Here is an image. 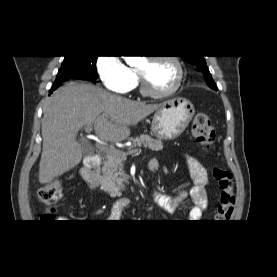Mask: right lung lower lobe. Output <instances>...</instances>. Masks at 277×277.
<instances>
[{
    "mask_svg": "<svg viewBox=\"0 0 277 277\" xmlns=\"http://www.w3.org/2000/svg\"><path fill=\"white\" fill-rule=\"evenodd\" d=\"M70 79H88L86 77H83L81 75L75 74V73H62V74H57L56 80L54 82V85L52 87V90L50 91V93L53 92V90H55L57 87L60 86V84H62L65 81H68Z\"/></svg>",
    "mask_w": 277,
    "mask_h": 277,
    "instance_id": "right-lung-lower-lobe-1",
    "label": "right lung lower lobe"
}]
</instances>
